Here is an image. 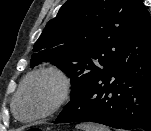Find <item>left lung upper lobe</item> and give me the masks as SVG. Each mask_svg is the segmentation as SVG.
Listing matches in <instances>:
<instances>
[{"label": "left lung upper lobe", "instance_id": "left-lung-upper-lobe-1", "mask_svg": "<svg viewBox=\"0 0 151 131\" xmlns=\"http://www.w3.org/2000/svg\"><path fill=\"white\" fill-rule=\"evenodd\" d=\"M142 0H68L36 41L31 67L57 65L71 79V96L113 68L130 45Z\"/></svg>", "mask_w": 151, "mask_h": 131}]
</instances>
